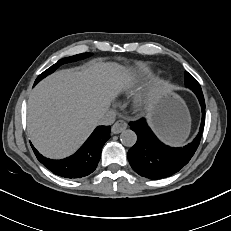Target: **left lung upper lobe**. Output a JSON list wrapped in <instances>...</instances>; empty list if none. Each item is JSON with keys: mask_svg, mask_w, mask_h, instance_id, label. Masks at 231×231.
I'll return each instance as SVG.
<instances>
[{"mask_svg": "<svg viewBox=\"0 0 231 231\" xmlns=\"http://www.w3.org/2000/svg\"><path fill=\"white\" fill-rule=\"evenodd\" d=\"M185 84H186V87L190 88L194 93L198 92L202 94V90H201L199 83L188 72H186Z\"/></svg>", "mask_w": 231, "mask_h": 231, "instance_id": "obj_1", "label": "left lung upper lobe"}]
</instances>
